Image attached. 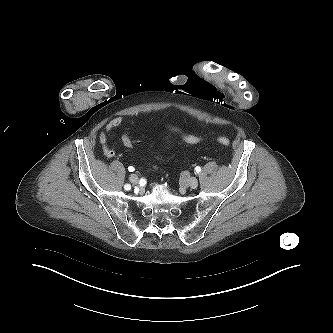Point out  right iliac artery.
<instances>
[{
	"label": "right iliac artery",
	"instance_id": "1",
	"mask_svg": "<svg viewBox=\"0 0 333 333\" xmlns=\"http://www.w3.org/2000/svg\"><path fill=\"white\" fill-rule=\"evenodd\" d=\"M124 189L125 190H130L131 189V185L130 184H125Z\"/></svg>",
	"mask_w": 333,
	"mask_h": 333
}]
</instances>
